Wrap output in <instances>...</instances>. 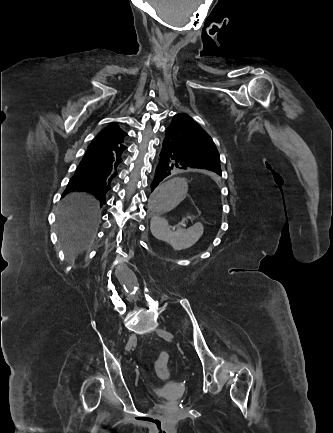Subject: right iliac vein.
<instances>
[{
	"instance_id": "right-iliac-vein-1",
	"label": "right iliac vein",
	"mask_w": 333,
	"mask_h": 433,
	"mask_svg": "<svg viewBox=\"0 0 333 433\" xmlns=\"http://www.w3.org/2000/svg\"><path fill=\"white\" fill-rule=\"evenodd\" d=\"M136 342H137L136 335L135 334H131L129 336V339H128V342H127V345H126V348L128 349L127 351H130L131 348L136 344Z\"/></svg>"
}]
</instances>
